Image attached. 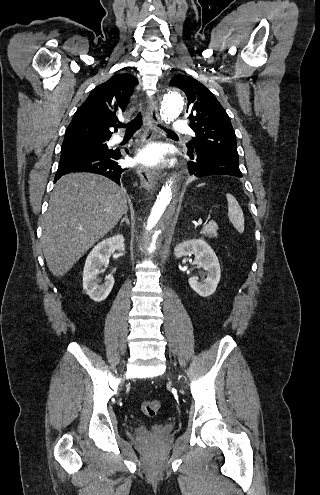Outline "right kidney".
I'll use <instances>...</instances> for the list:
<instances>
[{
  "label": "right kidney",
  "mask_w": 320,
  "mask_h": 495,
  "mask_svg": "<svg viewBox=\"0 0 320 495\" xmlns=\"http://www.w3.org/2000/svg\"><path fill=\"white\" fill-rule=\"evenodd\" d=\"M115 250L125 251L123 235H115L99 242L89 253L83 270V288L95 302L105 300L114 285V277H105L104 284H99L98 274L102 266L109 263V258Z\"/></svg>",
  "instance_id": "ca27d5eb"
}]
</instances>
